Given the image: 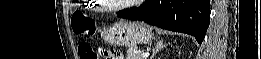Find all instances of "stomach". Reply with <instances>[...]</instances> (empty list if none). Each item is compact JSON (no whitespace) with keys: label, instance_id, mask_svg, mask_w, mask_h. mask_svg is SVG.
I'll use <instances>...</instances> for the list:
<instances>
[{"label":"stomach","instance_id":"obj_1","mask_svg":"<svg viewBox=\"0 0 261 59\" xmlns=\"http://www.w3.org/2000/svg\"><path fill=\"white\" fill-rule=\"evenodd\" d=\"M103 40L111 45L134 47L153 38L151 28L139 21L120 20L102 31Z\"/></svg>","mask_w":261,"mask_h":59}]
</instances>
